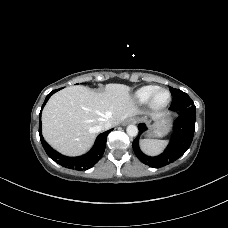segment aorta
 Segmentation results:
<instances>
[{"label":"aorta","mask_w":228,"mask_h":228,"mask_svg":"<svg viewBox=\"0 0 228 228\" xmlns=\"http://www.w3.org/2000/svg\"><path fill=\"white\" fill-rule=\"evenodd\" d=\"M126 131H127V134L129 136H131V137H134V136H136L138 134V128L135 125H129V126H127Z\"/></svg>","instance_id":"1"}]
</instances>
